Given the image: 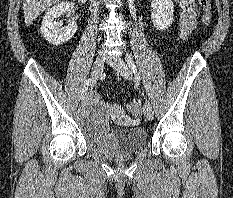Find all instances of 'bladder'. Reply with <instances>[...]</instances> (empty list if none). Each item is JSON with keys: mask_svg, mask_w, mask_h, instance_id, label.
Returning a JSON list of instances; mask_svg holds the SVG:
<instances>
[{"mask_svg": "<svg viewBox=\"0 0 233 198\" xmlns=\"http://www.w3.org/2000/svg\"><path fill=\"white\" fill-rule=\"evenodd\" d=\"M109 111L101 102L89 104L81 113L80 126L86 139L107 156L123 158L143 148L147 132L143 127H109Z\"/></svg>", "mask_w": 233, "mask_h": 198, "instance_id": "31cf9c89", "label": "bladder"}]
</instances>
